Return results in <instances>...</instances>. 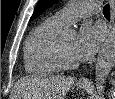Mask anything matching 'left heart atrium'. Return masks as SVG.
Masks as SVG:
<instances>
[{
	"mask_svg": "<svg viewBox=\"0 0 115 99\" xmlns=\"http://www.w3.org/2000/svg\"><path fill=\"white\" fill-rule=\"evenodd\" d=\"M104 37V30L100 25L84 24L75 41V55L79 61L91 58L97 51Z\"/></svg>",
	"mask_w": 115,
	"mask_h": 99,
	"instance_id": "left-heart-atrium-1",
	"label": "left heart atrium"
}]
</instances>
